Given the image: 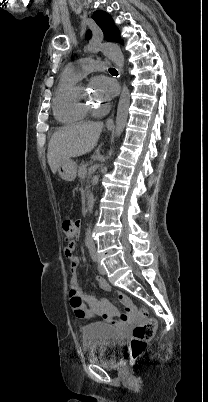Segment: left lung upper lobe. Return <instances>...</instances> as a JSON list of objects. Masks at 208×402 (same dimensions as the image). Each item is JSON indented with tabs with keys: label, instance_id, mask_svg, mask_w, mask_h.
<instances>
[{
	"label": "left lung upper lobe",
	"instance_id": "left-lung-upper-lobe-1",
	"mask_svg": "<svg viewBox=\"0 0 208 402\" xmlns=\"http://www.w3.org/2000/svg\"><path fill=\"white\" fill-rule=\"evenodd\" d=\"M92 18L95 20V22L98 24V26L102 29L104 33V38L107 41H115V42H120V34L118 29L114 26L113 19L110 17L109 14H107L104 11L98 10L94 12ZM91 37V31L89 30L87 32L86 38Z\"/></svg>",
	"mask_w": 208,
	"mask_h": 402
}]
</instances>
